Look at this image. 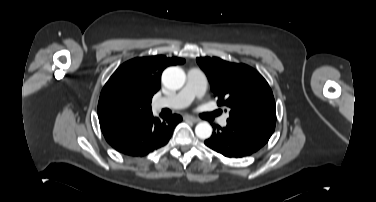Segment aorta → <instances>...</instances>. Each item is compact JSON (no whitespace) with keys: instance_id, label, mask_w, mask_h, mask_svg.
<instances>
[{"instance_id":"762f6f07","label":"aorta","mask_w":376,"mask_h":202,"mask_svg":"<svg viewBox=\"0 0 376 202\" xmlns=\"http://www.w3.org/2000/svg\"><path fill=\"white\" fill-rule=\"evenodd\" d=\"M186 80L185 72L180 67H169L162 75L163 84L172 90L183 87ZM196 136L200 139H207L212 134V127L208 122H200L195 127Z\"/></svg>"}]
</instances>
